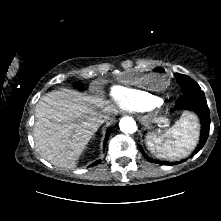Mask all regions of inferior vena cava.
Returning a JSON list of instances; mask_svg holds the SVG:
<instances>
[{"mask_svg": "<svg viewBox=\"0 0 221 221\" xmlns=\"http://www.w3.org/2000/svg\"><path fill=\"white\" fill-rule=\"evenodd\" d=\"M110 116H111V114L108 111H104L103 113L100 114L99 122L104 123L107 120H110V118H111Z\"/></svg>", "mask_w": 221, "mask_h": 221, "instance_id": "602c4592", "label": "inferior vena cava"}]
</instances>
